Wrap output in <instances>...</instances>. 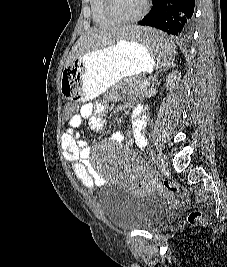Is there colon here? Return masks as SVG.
I'll return each mask as SVG.
<instances>
[{"label":"colon","mask_w":227,"mask_h":267,"mask_svg":"<svg viewBox=\"0 0 227 267\" xmlns=\"http://www.w3.org/2000/svg\"><path fill=\"white\" fill-rule=\"evenodd\" d=\"M75 110L76 105H65V114H62V119H73ZM162 185L167 191L175 192L178 190V186L168 179H164ZM188 220L191 224H206L208 222V218L198 210L191 211L188 215Z\"/></svg>","instance_id":"obj_1"}]
</instances>
